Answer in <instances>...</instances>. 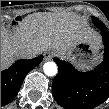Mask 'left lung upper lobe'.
Here are the masks:
<instances>
[{"label":"left lung upper lobe","mask_w":109,"mask_h":109,"mask_svg":"<svg viewBox=\"0 0 109 109\" xmlns=\"http://www.w3.org/2000/svg\"><path fill=\"white\" fill-rule=\"evenodd\" d=\"M92 19H93V23H94L98 28L105 27V25H104L99 19H97L96 17H92Z\"/></svg>","instance_id":"left-lung-upper-lobe-1"}]
</instances>
